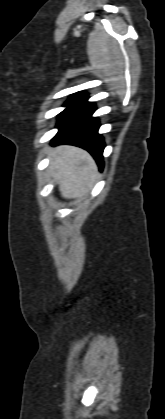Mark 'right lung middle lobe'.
Wrapping results in <instances>:
<instances>
[{
  "label": "right lung middle lobe",
  "instance_id": "obj_1",
  "mask_svg": "<svg viewBox=\"0 0 165 419\" xmlns=\"http://www.w3.org/2000/svg\"><path fill=\"white\" fill-rule=\"evenodd\" d=\"M83 98V96L82 95H72L71 97H70V99L66 102V104H65V106H69V105H71V104H73V103H75V102H77V101H79L80 99H82Z\"/></svg>",
  "mask_w": 165,
  "mask_h": 419
}]
</instances>
